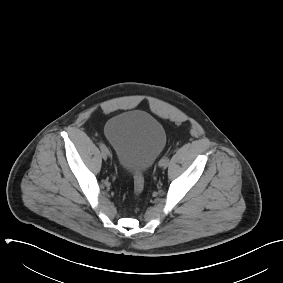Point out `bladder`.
<instances>
[{"mask_svg":"<svg viewBox=\"0 0 283 283\" xmlns=\"http://www.w3.org/2000/svg\"><path fill=\"white\" fill-rule=\"evenodd\" d=\"M105 136L119 165L128 171L144 172L152 166L166 144L162 124L143 111H128L111 118Z\"/></svg>","mask_w":283,"mask_h":283,"instance_id":"bladder-1","label":"bladder"}]
</instances>
